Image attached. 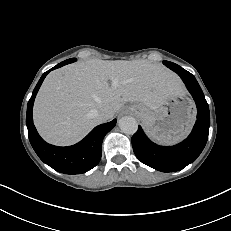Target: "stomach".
I'll return each instance as SVG.
<instances>
[{"label": "stomach", "instance_id": "obj_1", "mask_svg": "<svg viewBox=\"0 0 231 231\" xmlns=\"http://www.w3.org/2000/svg\"><path fill=\"white\" fill-rule=\"evenodd\" d=\"M127 111L135 114L147 133L162 144H172L184 138L196 116L194 103L185 92L169 95L155 110L143 103H134L127 107Z\"/></svg>", "mask_w": 231, "mask_h": 231}]
</instances>
